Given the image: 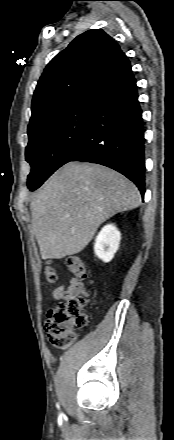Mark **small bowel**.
<instances>
[{
  "label": "small bowel",
  "instance_id": "obj_1",
  "mask_svg": "<svg viewBox=\"0 0 174 440\" xmlns=\"http://www.w3.org/2000/svg\"><path fill=\"white\" fill-rule=\"evenodd\" d=\"M84 285L77 278H71L68 283L53 287L49 295L55 300H69L85 293Z\"/></svg>",
  "mask_w": 174,
  "mask_h": 440
}]
</instances>
